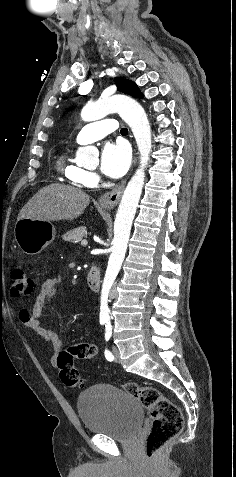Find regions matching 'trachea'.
<instances>
[{
	"mask_svg": "<svg viewBox=\"0 0 236 477\" xmlns=\"http://www.w3.org/2000/svg\"><path fill=\"white\" fill-rule=\"evenodd\" d=\"M127 132H128L127 128H122L121 129V134H127Z\"/></svg>",
	"mask_w": 236,
	"mask_h": 477,
	"instance_id": "obj_1",
	"label": "trachea"
}]
</instances>
